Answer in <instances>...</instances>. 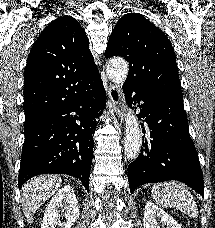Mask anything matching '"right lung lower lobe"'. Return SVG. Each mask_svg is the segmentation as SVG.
<instances>
[{
	"label": "right lung lower lobe",
	"mask_w": 215,
	"mask_h": 228,
	"mask_svg": "<svg viewBox=\"0 0 215 228\" xmlns=\"http://www.w3.org/2000/svg\"><path fill=\"white\" fill-rule=\"evenodd\" d=\"M100 74L75 88L61 107L24 124L25 142L18 176L19 189L39 174H67L80 179L89 191L95 117L105 108Z\"/></svg>",
	"instance_id": "98d812e1"
}]
</instances>
